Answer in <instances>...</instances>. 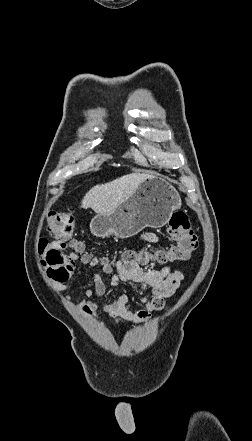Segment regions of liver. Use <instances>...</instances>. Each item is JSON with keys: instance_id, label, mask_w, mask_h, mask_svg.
Returning <instances> with one entry per match:
<instances>
[{"instance_id": "obj_1", "label": "liver", "mask_w": 252, "mask_h": 441, "mask_svg": "<svg viewBox=\"0 0 252 441\" xmlns=\"http://www.w3.org/2000/svg\"><path fill=\"white\" fill-rule=\"evenodd\" d=\"M153 177L146 173H132L111 182L96 185L86 193L81 207L92 208L97 214L112 213L135 192L142 182Z\"/></svg>"}]
</instances>
